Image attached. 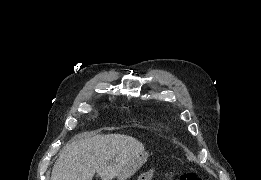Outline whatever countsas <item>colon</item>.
<instances>
[{"label":"colon","instance_id":"5ec220e1","mask_svg":"<svg viewBox=\"0 0 261 180\" xmlns=\"http://www.w3.org/2000/svg\"><path fill=\"white\" fill-rule=\"evenodd\" d=\"M179 180H200V177L195 173H184L179 175Z\"/></svg>","mask_w":261,"mask_h":180}]
</instances>
